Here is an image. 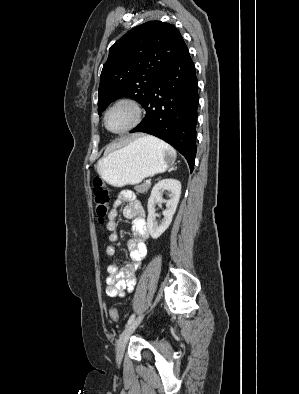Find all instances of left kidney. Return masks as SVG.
Returning a JSON list of instances; mask_svg holds the SVG:
<instances>
[{"label": "left kidney", "instance_id": "1", "mask_svg": "<svg viewBox=\"0 0 299 394\" xmlns=\"http://www.w3.org/2000/svg\"><path fill=\"white\" fill-rule=\"evenodd\" d=\"M165 190L169 191L170 195L169 199L166 201V209L163 211L164 219L162 220L161 224H158L155 220V205L156 203L164 202L162 193ZM180 195L181 183L176 179H163L153 187L147 205V227L153 239L159 238L171 224L173 215L180 199Z\"/></svg>", "mask_w": 299, "mask_h": 394}]
</instances>
